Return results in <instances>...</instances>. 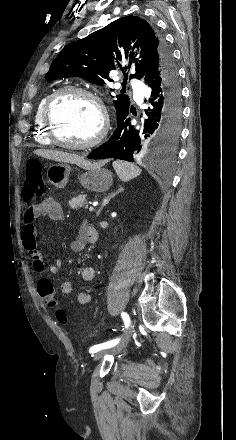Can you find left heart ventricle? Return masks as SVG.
<instances>
[{
    "label": "left heart ventricle",
    "mask_w": 236,
    "mask_h": 440,
    "mask_svg": "<svg viewBox=\"0 0 236 440\" xmlns=\"http://www.w3.org/2000/svg\"><path fill=\"white\" fill-rule=\"evenodd\" d=\"M52 120L57 137L72 144H81L92 139L100 122L95 104L80 95L60 98L53 106Z\"/></svg>",
    "instance_id": "left-heart-ventricle-1"
}]
</instances>
